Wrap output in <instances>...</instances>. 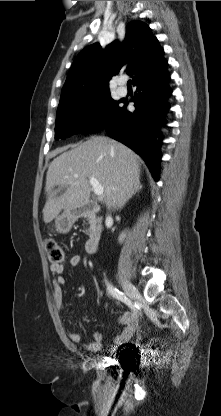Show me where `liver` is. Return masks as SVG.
Wrapping results in <instances>:
<instances>
[{"label": "liver", "mask_w": 221, "mask_h": 416, "mask_svg": "<svg viewBox=\"0 0 221 416\" xmlns=\"http://www.w3.org/2000/svg\"><path fill=\"white\" fill-rule=\"evenodd\" d=\"M90 176L95 177L104 189L103 203L114 209L122 208L130 196L142 188L138 155L120 142L94 136L64 151L51 162L46 176L45 223L55 219L62 209L73 210L88 203ZM55 186H66L67 189L56 196Z\"/></svg>", "instance_id": "1"}]
</instances>
